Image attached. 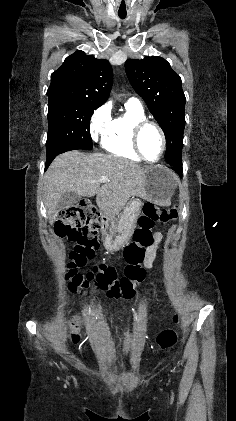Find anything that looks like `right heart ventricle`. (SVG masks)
I'll return each instance as SVG.
<instances>
[{"instance_id":"right-heart-ventricle-1","label":"right heart ventricle","mask_w":236,"mask_h":421,"mask_svg":"<svg viewBox=\"0 0 236 421\" xmlns=\"http://www.w3.org/2000/svg\"><path fill=\"white\" fill-rule=\"evenodd\" d=\"M146 119L142 105L134 100L125 104V110L119 116L111 119L101 134V148L111 155L140 162L141 159L134 150L131 133L134 124Z\"/></svg>"}]
</instances>
